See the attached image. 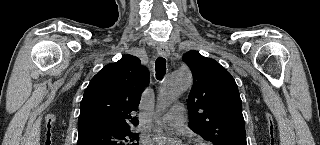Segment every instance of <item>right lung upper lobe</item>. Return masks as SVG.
I'll list each match as a JSON object with an SVG mask.
<instances>
[{
	"mask_svg": "<svg viewBox=\"0 0 320 145\" xmlns=\"http://www.w3.org/2000/svg\"><path fill=\"white\" fill-rule=\"evenodd\" d=\"M149 84V71L139 58L125 55L107 64L90 81L80 104L78 135L97 130L124 129L138 125L140 96Z\"/></svg>",
	"mask_w": 320,
	"mask_h": 145,
	"instance_id": "obj_1",
	"label": "right lung upper lobe"
}]
</instances>
